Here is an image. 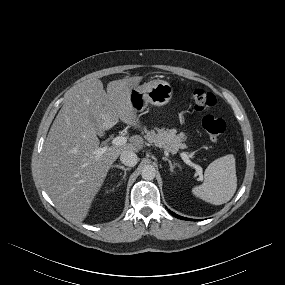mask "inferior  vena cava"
Returning a JSON list of instances; mask_svg holds the SVG:
<instances>
[{
	"label": "inferior vena cava",
	"instance_id": "602c4592",
	"mask_svg": "<svg viewBox=\"0 0 285 285\" xmlns=\"http://www.w3.org/2000/svg\"><path fill=\"white\" fill-rule=\"evenodd\" d=\"M121 162L129 167H133L138 162V157L134 151L126 150L120 154Z\"/></svg>",
	"mask_w": 285,
	"mask_h": 285
}]
</instances>
